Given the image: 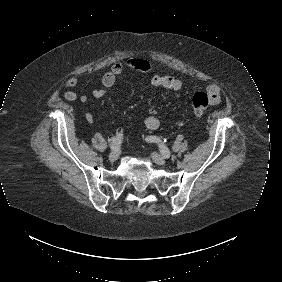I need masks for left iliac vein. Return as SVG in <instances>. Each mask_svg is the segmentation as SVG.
Returning <instances> with one entry per match:
<instances>
[{"label": "left iliac vein", "instance_id": "obj_1", "mask_svg": "<svg viewBox=\"0 0 282 282\" xmlns=\"http://www.w3.org/2000/svg\"><path fill=\"white\" fill-rule=\"evenodd\" d=\"M151 158L158 165L163 166L166 163L165 158L156 152L151 153Z\"/></svg>", "mask_w": 282, "mask_h": 282}]
</instances>
